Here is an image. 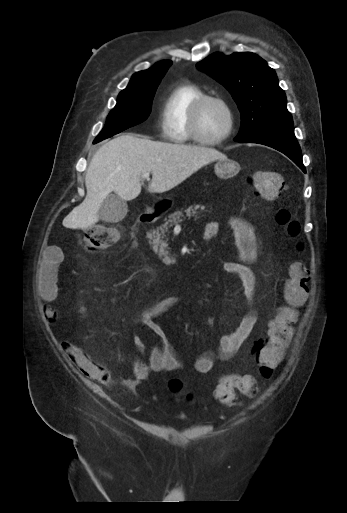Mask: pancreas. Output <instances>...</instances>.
I'll list each match as a JSON object with an SVG mask.
<instances>
[{"label":"pancreas","instance_id":"1","mask_svg":"<svg viewBox=\"0 0 347 513\" xmlns=\"http://www.w3.org/2000/svg\"><path fill=\"white\" fill-rule=\"evenodd\" d=\"M199 205H191L188 208H186L184 211L183 209L177 210L174 213L169 214L165 218V223L158 226L153 231V250L156 254H158L159 257H167L168 251L166 250L168 248L167 240H163L165 233L168 232V229L172 227L173 225H176L178 223H181L184 221L187 217L190 219L191 217L198 218V208Z\"/></svg>","mask_w":347,"mask_h":513}]
</instances>
